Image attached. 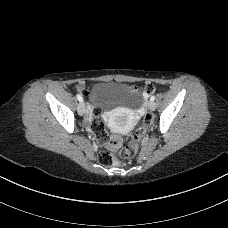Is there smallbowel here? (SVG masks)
<instances>
[{"label": "small bowel", "mask_w": 228, "mask_h": 228, "mask_svg": "<svg viewBox=\"0 0 228 228\" xmlns=\"http://www.w3.org/2000/svg\"><path fill=\"white\" fill-rule=\"evenodd\" d=\"M90 121H91V118H90V116H89V114H88V115H87L86 122L89 124V123H90ZM104 139H105V136H103L102 140H104ZM115 140H118V138H117V137H115Z\"/></svg>", "instance_id": "small-bowel-1"}]
</instances>
